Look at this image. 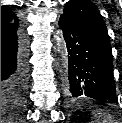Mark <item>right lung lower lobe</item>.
Segmentation results:
<instances>
[{"mask_svg": "<svg viewBox=\"0 0 122 123\" xmlns=\"http://www.w3.org/2000/svg\"><path fill=\"white\" fill-rule=\"evenodd\" d=\"M26 42L19 24H1V97L23 99L27 85Z\"/></svg>", "mask_w": 122, "mask_h": 123, "instance_id": "obj_1", "label": "right lung lower lobe"}]
</instances>
